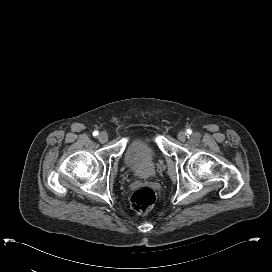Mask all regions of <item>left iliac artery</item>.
Returning a JSON list of instances; mask_svg holds the SVG:
<instances>
[{"mask_svg": "<svg viewBox=\"0 0 272 272\" xmlns=\"http://www.w3.org/2000/svg\"><path fill=\"white\" fill-rule=\"evenodd\" d=\"M187 133H188V134H191V133H192V130H191V129H187Z\"/></svg>", "mask_w": 272, "mask_h": 272, "instance_id": "left-iliac-artery-1", "label": "left iliac artery"}]
</instances>
